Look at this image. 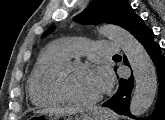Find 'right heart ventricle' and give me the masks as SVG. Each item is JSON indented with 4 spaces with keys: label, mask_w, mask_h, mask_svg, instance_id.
Wrapping results in <instances>:
<instances>
[{
    "label": "right heart ventricle",
    "mask_w": 165,
    "mask_h": 120,
    "mask_svg": "<svg viewBox=\"0 0 165 120\" xmlns=\"http://www.w3.org/2000/svg\"><path fill=\"white\" fill-rule=\"evenodd\" d=\"M67 61L69 57L55 47L40 56L28 80L29 96L35 105L49 106L64 102L55 89V77Z\"/></svg>",
    "instance_id": "e07e8e85"
}]
</instances>
